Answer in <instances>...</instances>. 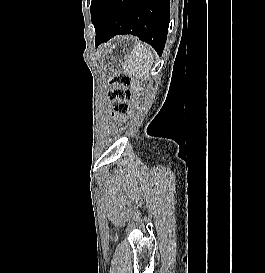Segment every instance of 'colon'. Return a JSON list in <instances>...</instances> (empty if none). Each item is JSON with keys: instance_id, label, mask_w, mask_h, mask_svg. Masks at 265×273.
I'll return each mask as SVG.
<instances>
[{"instance_id": "5ec220e1", "label": "colon", "mask_w": 265, "mask_h": 273, "mask_svg": "<svg viewBox=\"0 0 265 273\" xmlns=\"http://www.w3.org/2000/svg\"><path fill=\"white\" fill-rule=\"evenodd\" d=\"M131 78L125 74L113 75L110 78V84L113 86L109 91V99L113 112L124 114L128 111L127 100L130 97L128 86Z\"/></svg>"}]
</instances>
